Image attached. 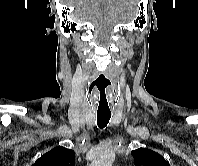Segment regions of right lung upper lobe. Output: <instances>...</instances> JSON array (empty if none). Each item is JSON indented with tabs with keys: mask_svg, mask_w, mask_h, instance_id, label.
<instances>
[{
	"mask_svg": "<svg viewBox=\"0 0 198 166\" xmlns=\"http://www.w3.org/2000/svg\"><path fill=\"white\" fill-rule=\"evenodd\" d=\"M74 151L58 146L42 155L33 166H75Z\"/></svg>",
	"mask_w": 198,
	"mask_h": 166,
	"instance_id": "right-lung-upper-lobe-1",
	"label": "right lung upper lobe"
}]
</instances>
